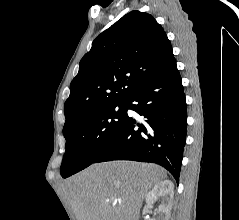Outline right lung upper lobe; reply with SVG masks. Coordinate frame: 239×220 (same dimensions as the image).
Wrapping results in <instances>:
<instances>
[{
  "mask_svg": "<svg viewBox=\"0 0 239 220\" xmlns=\"http://www.w3.org/2000/svg\"><path fill=\"white\" fill-rule=\"evenodd\" d=\"M174 60L171 43L152 15L126 14L81 59L64 104L63 130L94 110L125 102Z\"/></svg>",
  "mask_w": 239,
  "mask_h": 220,
  "instance_id": "obj_1",
  "label": "right lung upper lobe"
}]
</instances>
